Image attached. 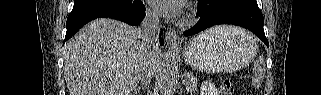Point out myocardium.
Returning a JSON list of instances; mask_svg holds the SVG:
<instances>
[{
    "mask_svg": "<svg viewBox=\"0 0 321 95\" xmlns=\"http://www.w3.org/2000/svg\"><path fill=\"white\" fill-rule=\"evenodd\" d=\"M192 22H193V16L192 14L188 13L180 21V24L183 26H187V25H190Z\"/></svg>",
    "mask_w": 321,
    "mask_h": 95,
    "instance_id": "f54148a6",
    "label": "myocardium"
}]
</instances>
